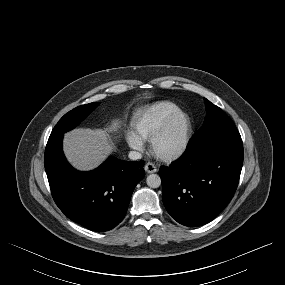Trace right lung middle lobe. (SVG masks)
Segmentation results:
<instances>
[{
	"mask_svg": "<svg viewBox=\"0 0 285 285\" xmlns=\"http://www.w3.org/2000/svg\"><path fill=\"white\" fill-rule=\"evenodd\" d=\"M98 105L99 102H93L90 104L79 106L69 111L58 121L51 134L64 133L66 131L73 129Z\"/></svg>",
	"mask_w": 285,
	"mask_h": 285,
	"instance_id": "right-lung-middle-lobe-1",
	"label": "right lung middle lobe"
}]
</instances>
